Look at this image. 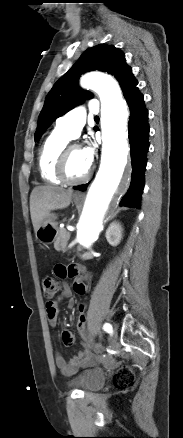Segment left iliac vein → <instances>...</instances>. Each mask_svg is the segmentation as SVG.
Instances as JSON below:
<instances>
[{"label":"left iliac vein","instance_id":"4c4485c4","mask_svg":"<svg viewBox=\"0 0 183 438\" xmlns=\"http://www.w3.org/2000/svg\"><path fill=\"white\" fill-rule=\"evenodd\" d=\"M116 337H117V333H116L115 330H113L112 331V340H113V342L116 340Z\"/></svg>","mask_w":183,"mask_h":438}]
</instances>
